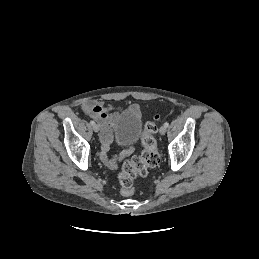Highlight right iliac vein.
I'll list each match as a JSON object with an SVG mask.
<instances>
[{"instance_id": "63e3f726", "label": "right iliac vein", "mask_w": 259, "mask_h": 259, "mask_svg": "<svg viewBox=\"0 0 259 259\" xmlns=\"http://www.w3.org/2000/svg\"><path fill=\"white\" fill-rule=\"evenodd\" d=\"M99 125H97V124H95V125H93V130L95 131V132H98L99 131Z\"/></svg>"}]
</instances>
